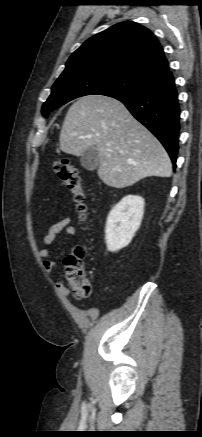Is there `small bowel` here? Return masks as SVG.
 Listing matches in <instances>:
<instances>
[{"label":"small bowel","instance_id":"small-bowel-1","mask_svg":"<svg viewBox=\"0 0 202 437\" xmlns=\"http://www.w3.org/2000/svg\"><path fill=\"white\" fill-rule=\"evenodd\" d=\"M61 233L67 235H76L78 233V228L72 224V218L70 216H65L58 222L52 224L43 237V244L45 248L40 250L39 256L42 259L43 268L48 274H51L53 272L56 264L53 260L50 259L51 252L47 247L51 245L57 238V236ZM58 289L63 295H68V291L63 285L59 284Z\"/></svg>","mask_w":202,"mask_h":437}]
</instances>
